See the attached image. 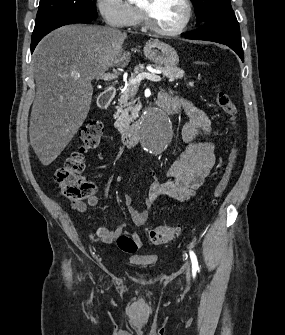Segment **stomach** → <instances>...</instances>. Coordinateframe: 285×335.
Segmentation results:
<instances>
[{
	"instance_id": "0dacf381",
	"label": "stomach",
	"mask_w": 285,
	"mask_h": 335,
	"mask_svg": "<svg viewBox=\"0 0 285 335\" xmlns=\"http://www.w3.org/2000/svg\"><path fill=\"white\" fill-rule=\"evenodd\" d=\"M144 56L147 60H151L154 64H159V66H166V68H174L179 64V56L171 48L169 44H164L160 40H152V42H147L146 46L143 48Z\"/></svg>"
}]
</instances>
